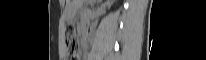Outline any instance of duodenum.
I'll return each instance as SVG.
<instances>
[{"instance_id": "duodenum-1", "label": "duodenum", "mask_w": 206, "mask_h": 60, "mask_svg": "<svg viewBox=\"0 0 206 60\" xmlns=\"http://www.w3.org/2000/svg\"><path fill=\"white\" fill-rule=\"evenodd\" d=\"M87 30H89V25H82V29H81L82 38L85 37Z\"/></svg>"}]
</instances>
